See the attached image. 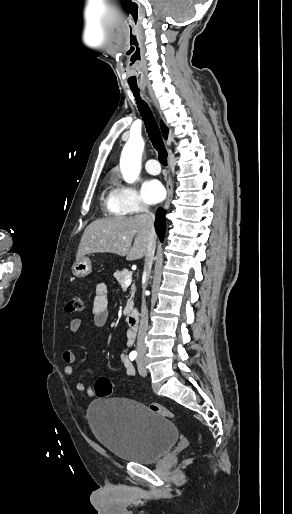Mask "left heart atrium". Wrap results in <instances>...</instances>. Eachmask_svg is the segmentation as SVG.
<instances>
[{"label": "left heart atrium", "mask_w": 292, "mask_h": 514, "mask_svg": "<svg viewBox=\"0 0 292 514\" xmlns=\"http://www.w3.org/2000/svg\"><path fill=\"white\" fill-rule=\"evenodd\" d=\"M143 194L149 203H157L163 199L165 190L157 180H150L143 187Z\"/></svg>", "instance_id": "obj_1"}]
</instances>
